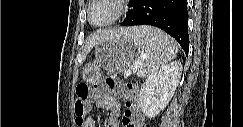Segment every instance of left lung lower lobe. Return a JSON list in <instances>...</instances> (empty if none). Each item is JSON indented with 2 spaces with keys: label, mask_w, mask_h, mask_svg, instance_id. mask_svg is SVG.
<instances>
[{
  "label": "left lung lower lobe",
  "mask_w": 243,
  "mask_h": 127,
  "mask_svg": "<svg viewBox=\"0 0 243 127\" xmlns=\"http://www.w3.org/2000/svg\"><path fill=\"white\" fill-rule=\"evenodd\" d=\"M122 25H152L174 37L188 53L187 0H135Z\"/></svg>",
  "instance_id": "left-lung-lower-lobe-1"
}]
</instances>
